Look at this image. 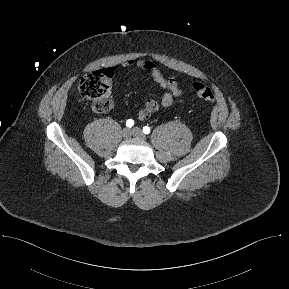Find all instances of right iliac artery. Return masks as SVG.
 Here are the masks:
<instances>
[{"mask_svg": "<svg viewBox=\"0 0 289 289\" xmlns=\"http://www.w3.org/2000/svg\"><path fill=\"white\" fill-rule=\"evenodd\" d=\"M133 125H134V121H133L132 119H128V120L126 121V126H127V127L131 128Z\"/></svg>", "mask_w": 289, "mask_h": 289, "instance_id": "right-iliac-artery-1", "label": "right iliac artery"}]
</instances>
